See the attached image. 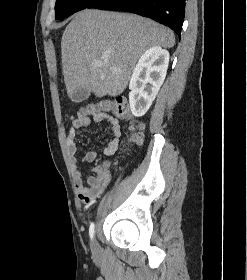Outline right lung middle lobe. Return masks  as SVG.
I'll return each mask as SVG.
<instances>
[{
    "label": "right lung middle lobe",
    "mask_w": 247,
    "mask_h": 280,
    "mask_svg": "<svg viewBox=\"0 0 247 280\" xmlns=\"http://www.w3.org/2000/svg\"><path fill=\"white\" fill-rule=\"evenodd\" d=\"M98 0H57L55 6L56 19L63 20L67 16L89 8Z\"/></svg>",
    "instance_id": "right-lung-middle-lobe-1"
}]
</instances>
